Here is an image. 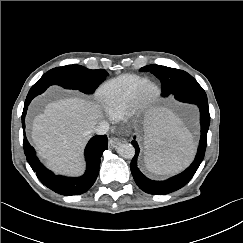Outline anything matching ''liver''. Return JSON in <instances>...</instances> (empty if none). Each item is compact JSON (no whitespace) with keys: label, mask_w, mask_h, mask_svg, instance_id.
I'll list each match as a JSON object with an SVG mask.
<instances>
[{"label":"liver","mask_w":243,"mask_h":243,"mask_svg":"<svg viewBox=\"0 0 243 243\" xmlns=\"http://www.w3.org/2000/svg\"><path fill=\"white\" fill-rule=\"evenodd\" d=\"M101 118L102 111L93 101L59 99L48 103L44 112L35 116L32 141L55 173L78 174L83 169L84 147Z\"/></svg>","instance_id":"obj_1"}]
</instances>
